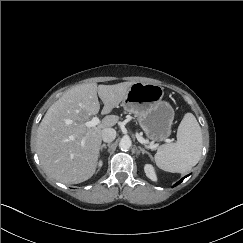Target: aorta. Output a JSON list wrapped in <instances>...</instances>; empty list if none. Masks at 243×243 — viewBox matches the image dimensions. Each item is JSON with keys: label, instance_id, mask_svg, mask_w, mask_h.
Here are the masks:
<instances>
[{"label": "aorta", "instance_id": "762f6f07", "mask_svg": "<svg viewBox=\"0 0 243 243\" xmlns=\"http://www.w3.org/2000/svg\"><path fill=\"white\" fill-rule=\"evenodd\" d=\"M132 146V142L130 140V138L128 137H123L120 142H119V148L122 151H127L130 149V147Z\"/></svg>", "mask_w": 243, "mask_h": 243}]
</instances>
